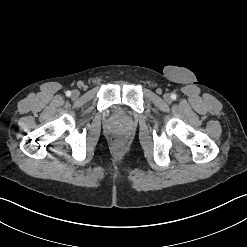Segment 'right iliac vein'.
<instances>
[{"label":"right iliac vein","instance_id":"1","mask_svg":"<svg viewBox=\"0 0 247 247\" xmlns=\"http://www.w3.org/2000/svg\"><path fill=\"white\" fill-rule=\"evenodd\" d=\"M71 95H72V98L77 99L80 93L78 90H73Z\"/></svg>","mask_w":247,"mask_h":247}]
</instances>
